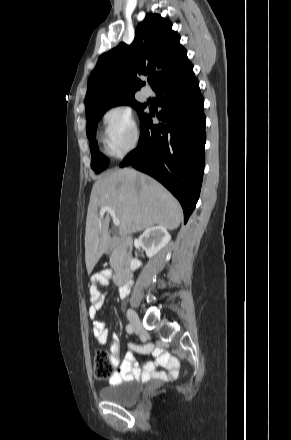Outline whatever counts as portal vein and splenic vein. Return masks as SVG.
I'll return each instance as SVG.
<instances>
[{"label":"portal vein and splenic vein","mask_w":291,"mask_h":440,"mask_svg":"<svg viewBox=\"0 0 291 440\" xmlns=\"http://www.w3.org/2000/svg\"><path fill=\"white\" fill-rule=\"evenodd\" d=\"M105 212H107V213H109L111 215V217L113 219V224L115 226H119L120 225V220L116 217V213H115L114 209H112L109 206L101 207L100 214L104 215Z\"/></svg>","instance_id":"18ae733b"}]
</instances>
